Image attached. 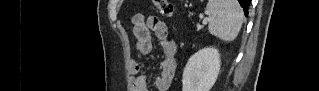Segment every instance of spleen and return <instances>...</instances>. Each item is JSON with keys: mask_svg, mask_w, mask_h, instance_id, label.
Segmentation results:
<instances>
[{"mask_svg": "<svg viewBox=\"0 0 319 91\" xmlns=\"http://www.w3.org/2000/svg\"><path fill=\"white\" fill-rule=\"evenodd\" d=\"M209 16L208 31L224 41H233L243 23V10L237 0H209L205 9Z\"/></svg>", "mask_w": 319, "mask_h": 91, "instance_id": "3e777b00", "label": "spleen"}]
</instances>
